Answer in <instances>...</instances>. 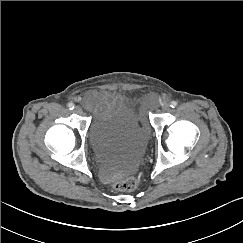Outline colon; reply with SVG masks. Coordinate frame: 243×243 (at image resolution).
<instances>
[{
  "instance_id": "1",
  "label": "colon",
  "mask_w": 243,
  "mask_h": 243,
  "mask_svg": "<svg viewBox=\"0 0 243 243\" xmlns=\"http://www.w3.org/2000/svg\"><path fill=\"white\" fill-rule=\"evenodd\" d=\"M138 186L137 177H128L114 183V189L121 192L133 191Z\"/></svg>"
}]
</instances>
